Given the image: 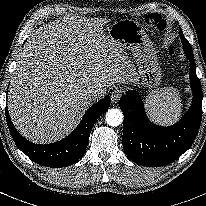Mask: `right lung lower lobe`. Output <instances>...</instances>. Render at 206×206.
<instances>
[{"label": "right lung lower lobe", "instance_id": "98d812e1", "mask_svg": "<svg viewBox=\"0 0 206 206\" xmlns=\"http://www.w3.org/2000/svg\"><path fill=\"white\" fill-rule=\"evenodd\" d=\"M109 104V96L104 97L87 110L77 128L69 136L45 145L32 143L21 136L11 122L7 109L5 112L8 128L16 146L37 164L59 168L69 166L82 157L96 120L108 110Z\"/></svg>", "mask_w": 206, "mask_h": 206}]
</instances>
